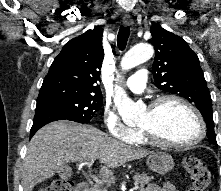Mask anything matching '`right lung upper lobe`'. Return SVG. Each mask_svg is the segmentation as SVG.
I'll list each match as a JSON object with an SVG mask.
<instances>
[{"mask_svg": "<svg viewBox=\"0 0 221 191\" xmlns=\"http://www.w3.org/2000/svg\"><path fill=\"white\" fill-rule=\"evenodd\" d=\"M100 26L71 39L54 59L37 101L62 97H102L100 69L104 58Z\"/></svg>", "mask_w": 221, "mask_h": 191, "instance_id": "1", "label": "right lung upper lobe"}]
</instances>
